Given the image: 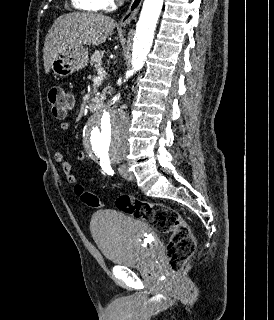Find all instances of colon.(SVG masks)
Listing matches in <instances>:
<instances>
[{
  "instance_id": "1",
  "label": "colon",
  "mask_w": 274,
  "mask_h": 320,
  "mask_svg": "<svg viewBox=\"0 0 274 320\" xmlns=\"http://www.w3.org/2000/svg\"><path fill=\"white\" fill-rule=\"evenodd\" d=\"M48 101L53 115L57 118L65 117L72 106V99L63 87H51L48 91ZM74 191L87 205L97 204V199L84 191L80 185H76ZM100 205L104 206V203L100 202ZM115 207L143 220L159 233L171 234L167 251L168 267L172 273H178L185 268L195 251L196 240L190 225L182 220L176 209L161 202H149L127 196L117 198Z\"/></svg>"
}]
</instances>
